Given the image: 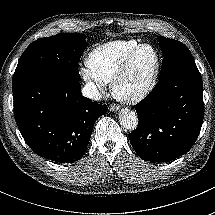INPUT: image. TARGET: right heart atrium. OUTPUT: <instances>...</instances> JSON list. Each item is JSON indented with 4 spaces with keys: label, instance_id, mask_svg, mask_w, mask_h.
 <instances>
[{
    "label": "right heart atrium",
    "instance_id": "obj_1",
    "mask_svg": "<svg viewBox=\"0 0 215 215\" xmlns=\"http://www.w3.org/2000/svg\"><path fill=\"white\" fill-rule=\"evenodd\" d=\"M80 75L84 82H86L89 85L94 95L97 96L103 91V85L101 82L93 79L87 73L80 72Z\"/></svg>",
    "mask_w": 215,
    "mask_h": 215
}]
</instances>
